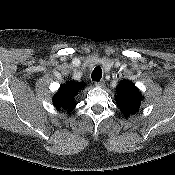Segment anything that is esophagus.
<instances>
[{
    "instance_id": "obj_1",
    "label": "esophagus",
    "mask_w": 175,
    "mask_h": 175,
    "mask_svg": "<svg viewBox=\"0 0 175 175\" xmlns=\"http://www.w3.org/2000/svg\"><path fill=\"white\" fill-rule=\"evenodd\" d=\"M104 84H105V81H104V80H100V81H98V82H95V85H96L97 87H103Z\"/></svg>"
}]
</instances>
